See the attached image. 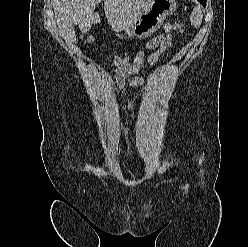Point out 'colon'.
Instances as JSON below:
<instances>
[{"instance_id":"colon-1","label":"colon","mask_w":248,"mask_h":247,"mask_svg":"<svg viewBox=\"0 0 248 247\" xmlns=\"http://www.w3.org/2000/svg\"><path fill=\"white\" fill-rule=\"evenodd\" d=\"M182 24H179V23H167L165 25V30L166 31H170V30H180L182 31ZM87 40L89 41L90 40V37H87Z\"/></svg>"}]
</instances>
